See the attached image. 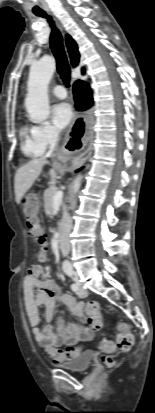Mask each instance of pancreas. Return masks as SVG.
I'll list each match as a JSON object with an SVG mask.
<instances>
[{"label": "pancreas", "mask_w": 155, "mask_h": 413, "mask_svg": "<svg viewBox=\"0 0 155 413\" xmlns=\"http://www.w3.org/2000/svg\"><path fill=\"white\" fill-rule=\"evenodd\" d=\"M58 191V189L55 186H50L45 192H44V203H45V212L49 216L50 212L52 210V205H53V198L55 193Z\"/></svg>", "instance_id": "cf45deb5"}]
</instances>
